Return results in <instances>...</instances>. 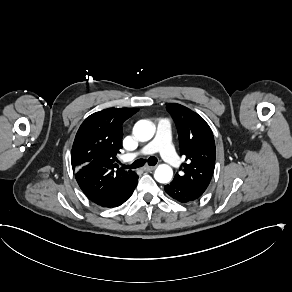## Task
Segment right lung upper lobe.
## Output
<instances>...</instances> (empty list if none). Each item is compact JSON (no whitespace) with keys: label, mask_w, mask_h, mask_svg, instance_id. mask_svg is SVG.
I'll return each mask as SVG.
<instances>
[{"label":"right lung upper lobe","mask_w":292,"mask_h":292,"mask_svg":"<svg viewBox=\"0 0 292 292\" xmlns=\"http://www.w3.org/2000/svg\"><path fill=\"white\" fill-rule=\"evenodd\" d=\"M138 110L104 109L88 116L77 131L72 168L83 193L98 205L118 196L137 176L119 168L116 154L122 148V123Z\"/></svg>","instance_id":"right-lung-upper-lobe-1"}]
</instances>
